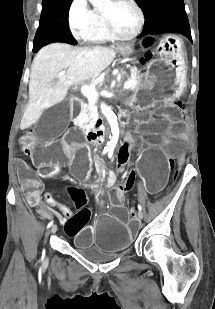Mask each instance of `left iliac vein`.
<instances>
[{
    "mask_svg": "<svg viewBox=\"0 0 215 309\" xmlns=\"http://www.w3.org/2000/svg\"><path fill=\"white\" fill-rule=\"evenodd\" d=\"M142 218H143V214H139V213H138V219H139V220H142Z\"/></svg>",
    "mask_w": 215,
    "mask_h": 309,
    "instance_id": "obj_1",
    "label": "left iliac vein"
}]
</instances>
